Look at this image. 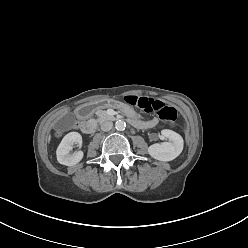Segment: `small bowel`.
Listing matches in <instances>:
<instances>
[{
  "instance_id": "c3829d8e",
  "label": "small bowel",
  "mask_w": 248,
  "mask_h": 248,
  "mask_svg": "<svg viewBox=\"0 0 248 248\" xmlns=\"http://www.w3.org/2000/svg\"><path fill=\"white\" fill-rule=\"evenodd\" d=\"M156 123H157V120L153 119V120H150V121L142 123V124H139V123H136V124L137 125H144L146 127H151V126H154Z\"/></svg>"
}]
</instances>
